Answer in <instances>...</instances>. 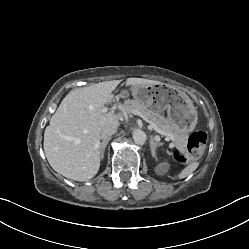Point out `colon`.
<instances>
[{
    "instance_id": "colon-1",
    "label": "colon",
    "mask_w": 249,
    "mask_h": 249,
    "mask_svg": "<svg viewBox=\"0 0 249 249\" xmlns=\"http://www.w3.org/2000/svg\"><path fill=\"white\" fill-rule=\"evenodd\" d=\"M207 142V136L204 132L198 131L194 132L188 140L187 151L190 156H199L205 149ZM187 154L176 151L175 157L181 163H187L189 161V156Z\"/></svg>"
}]
</instances>
